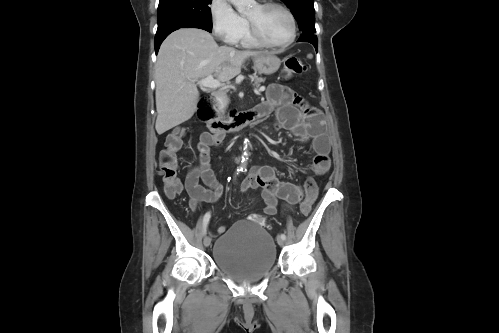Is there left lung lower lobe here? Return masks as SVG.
I'll use <instances>...</instances> for the list:
<instances>
[{
    "mask_svg": "<svg viewBox=\"0 0 499 333\" xmlns=\"http://www.w3.org/2000/svg\"><path fill=\"white\" fill-rule=\"evenodd\" d=\"M298 42H309L311 43L317 52L318 49V40L315 34H310V33H302L301 37L299 38Z\"/></svg>",
    "mask_w": 499,
    "mask_h": 333,
    "instance_id": "left-lung-lower-lobe-1",
    "label": "left lung lower lobe"
}]
</instances>
